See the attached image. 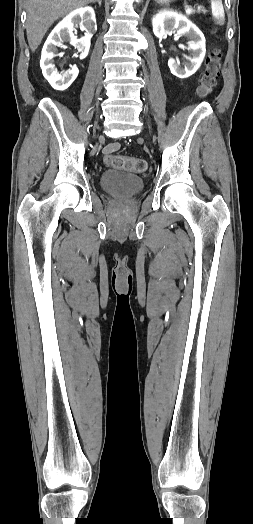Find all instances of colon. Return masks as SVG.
I'll return each mask as SVG.
<instances>
[{"label": "colon", "instance_id": "colon-1", "mask_svg": "<svg viewBox=\"0 0 253 524\" xmlns=\"http://www.w3.org/2000/svg\"><path fill=\"white\" fill-rule=\"evenodd\" d=\"M220 66L221 52L218 48H215L206 60L205 70L197 89L199 95L207 96L212 92L219 78ZM105 162L114 168L136 173H142L147 169V162L139 157L107 154L105 156Z\"/></svg>", "mask_w": 253, "mask_h": 524}]
</instances>
